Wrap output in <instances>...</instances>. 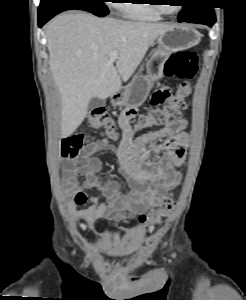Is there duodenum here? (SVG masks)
<instances>
[{"instance_id":"410a0bca","label":"duodenum","mask_w":246,"mask_h":300,"mask_svg":"<svg viewBox=\"0 0 246 300\" xmlns=\"http://www.w3.org/2000/svg\"><path fill=\"white\" fill-rule=\"evenodd\" d=\"M121 93V90L116 91V95H119Z\"/></svg>"}]
</instances>
